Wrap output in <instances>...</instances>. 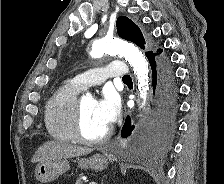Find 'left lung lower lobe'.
<instances>
[{
	"label": "left lung lower lobe",
	"mask_w": 224,
	"mask_h": 184,
	"mask_svg": "<svg viewBox=\"0 0 224 184\" xmlns=\"http://www.w3.org/2000/svg\"><path fill=\"white\" fill-rule=\"evenodd\" d=\"M161 53L162 49H159L157 53L147 55L152 68L154 91L156 88V103L147 140L148 144L153 146L166 147L176 128L177 88L167 57L159 56L155 61V56ZM133 129L134 126H131L130 117H127L121 130V136L123 138L129 137Z\"/></svg>",
	"instance_id": "0a47b994"
}]
</instances>
